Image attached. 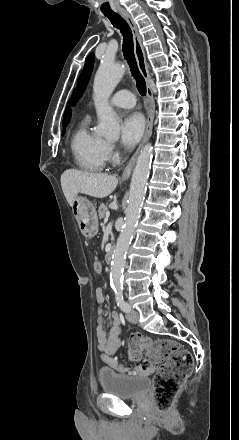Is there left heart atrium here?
Wrapping results in <instances>:
<instances>
[{"label": "left heart atrium", "mask_w": 239, "mask_h": 440, "mask_svg": "<svg viewBox=\"0 0 239 440\" xmlns=\"http://www.w3.org/2000/svg\"><path fill=\"white\" fill-rule=\"evenodd\" d=\"M120 138L125 146L136 144L144 130V120L141 114L130 112L122 116L120 122Z\"/></svg>", "instance_id": "left-heart-atrium-1"}]
</instances>
